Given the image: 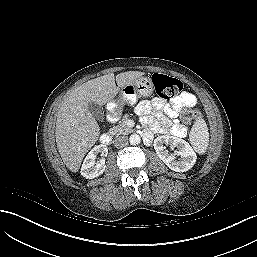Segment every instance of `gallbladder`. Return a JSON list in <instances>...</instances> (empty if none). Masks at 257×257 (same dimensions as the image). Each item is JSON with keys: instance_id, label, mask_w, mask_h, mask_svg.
Wrapping results in <instances>:
<instances>
[{"instance_id": "obj_1", "label": "gallbladder", "mask_w": 257, "mask_h": 257, "mask_svg": "<svg viewBox=\"0 0 257 257\" xmlns=\"http://www.w3.org/2000/svg\"><path fill=\"white\" fill-rule=\"evenodd\" d=\"M88 110L95 119L99 121L103 120L104 113L100 105L95 102H90L88 104Z\"/></svg>"}]
</instances>
